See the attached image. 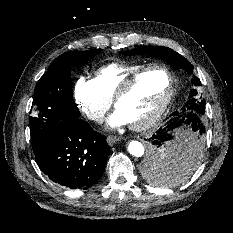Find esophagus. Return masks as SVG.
Segmentation results:
<instances>
[{
    "label": "esophagus",
    "mask_w": 233,
    "mask_h": 233,
    "mask_svg": "<svg viewBox=\"0 0 233 233\" xmlns=\"http://www.w3.org/2000/svg\"><path fill=\"white\" fill-rule=\"evenodd\" d=\"M118 140H119V138L116 137V136H111L110 135V136L107 137V142H108V144L110 146H113L115 144V142L118 141Z\"/></svg>",
    "instance_id": "34e87169"
}]
</instances>
